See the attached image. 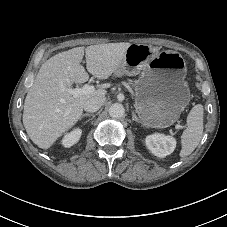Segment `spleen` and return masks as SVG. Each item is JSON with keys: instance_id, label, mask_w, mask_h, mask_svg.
<instances>
[{"instance_id": "3e777b00", "label": "spleen", "mask_w": 227, "mask_h": 227, "mask_svg": "<svg viewBox=\"0 0 227 227\" xmlns=\"http://www.w3.org/2000/svg\"><path fill=\"white\" fill-rule=\"evenodd\" d=\"M203 106L195 105L187 117V128L181 135L180 157L189 156L198 146L203 134Z\"/></svg>"}]
</instances>
